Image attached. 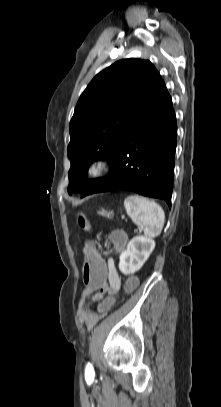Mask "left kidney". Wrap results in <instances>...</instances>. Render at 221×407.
<instances>
[{
  "instance_id": "left-kidney-1",
  "label": "left kidney",
  "mask_w": 221,
  "mask_h": 407,
  "mask_svg": "<svg viewBox=\"0 0 221 407\" xmlns=\"http://www.w3.org/2000/svg\"><path fill=\"white\" fill-rule=\"evenodd\" d=\"M155 248V241L147 236H136L121 253L119 269L124 275L134 274L141 269Z\"/></svg>"
}]
</instances>
